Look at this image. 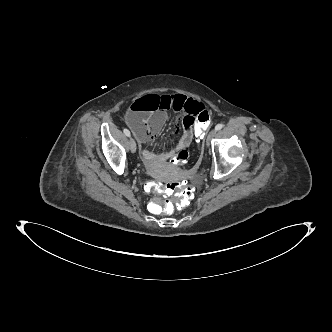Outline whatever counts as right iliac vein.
<instances>
[{
	"label": "right iliac vein",
	"instance_id": "right-iliac-vein-1",
	"mask_svg": "<svg viewBox=\"0 0 332 332\" xmlns=\"http://www.w3.org/2000/svg\"><path fill=\"white\" fill-rule=\"evenodd\" d=\"M129 147H130V150L132 153L136 152V149H137L136 142L133 138H130V140H129Z\"/></svg>",
	"mask_w": 332,
	"mask_h": 332
}]
</instances>
